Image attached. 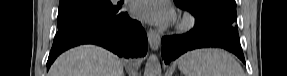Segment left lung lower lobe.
<instances>
[{
	"instance_id": "left-lung-lower-lobe-1",
	"label": "left lung lower lobe",
	"mask_w": 287,
	"mask_h": 76,
	"mask_svg": "<svg viewBox=\"0 0 287 76\" xmlns=\"http://www.w3.org/2000/svg\"><path fill=\"white\" fill-rule=\"evenodd\" d=\"M204 47L224 48L245 63L239 35L227 33L198 18L188 33L162 38V56L166 64L189 50Z\"/></svg>"
}]
</instances>
